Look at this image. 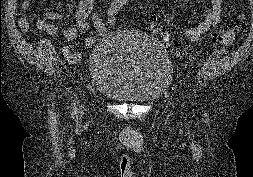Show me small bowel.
I'll list each match as a JSON object with an SVG mask.
<instances>
[{
  "instance_id": "obj_1",
  "label": "small bowel",
  "mask_w": 253,
  "mask_h": 177,
  "mask_svg": "<svg viewBox=\"0 0 253 177\" xmlns=\"http://www.w3.org/2000/svg\"><path fill=\"white\" fill-rule=\"evenodd\" d=\"M96 0H80L76 11V27H66L62 30V35L68 41H76L80 32L86 33L87 37L83 45L91 48L96 44L97 37L107 35L103 23V16L99 12L94 11ZM223 0H210L209 6L204 10L201 21L193 27L186 29L185 35L190 41H198L210 28L217 25L221 20V7ZM32 5L31 0L22 2L23 9H29ZM62 12L46 11L41 19L40 24L53 35H58L59 30L56 26L50 24L51 21L62 18L66 9ZM90 18V21H89ZM18 25L23 31L29 28L28 22L24 17L19 18ZM61 52L65 59L69 62H77L81 58V54L72 51L69 47L62 46Z\"/></svg>"
}]
</instances>
